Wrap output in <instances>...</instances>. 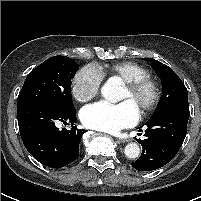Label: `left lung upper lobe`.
I'll return each mask as SVG.
<instances>
[{
    "label": "left lung upper lobe",
    "mask_w": 201,
    "mask_h": 201,
    "mask_svg": "<svg viewBox=\"0 0 201 201\" xmlns=\"http://www.w3.org/2000/svg\"><path fill=\"white\" fill-rule=\"evenodd\" d=\"M143 59L151 62V67L160 76L162 82V97L152 117L175 107L189 108L187 89L178 75L170 67L155 59Z\"/></svg>",
    "instance_id": "5c2ea615"
}]
</instances>
